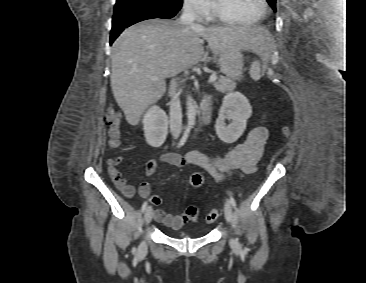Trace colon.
Listing matches in <instances>:
<instances>
[{
	"label": "colon",
	"instance_id": "obj_1",
	"mask_svg": "<svg viewBox=\"0 0 366 283\" xmlns=\"http://www.w3.org/2000/svg\"><path fill=\"white\" fill-rule=\"evenodd\" d=\"M106 124L109 128L110 144L111 146L116 147L120 144L121 132H120V116L115 110L110 109L108 111L106 115ZM284 135L285 137H288L289 135L288 129L284 131ZM203 182H204L203 175L199 172H195L191 174L189 177V184L194 188L201 187L203 185ZM199 217H200L199 211L195 207L188 208V210L184 215V218L186 220H191L194 222L198 221ZM218 217H219V211L217 209H213L210 212H208V214L205 217V221L207 223H213L214 221L217 220Z\"/></svg>",
	"mask_w": 366,
	"mask_h": 283
}]
</instances>
